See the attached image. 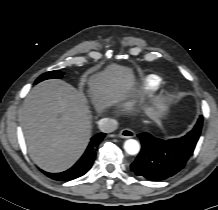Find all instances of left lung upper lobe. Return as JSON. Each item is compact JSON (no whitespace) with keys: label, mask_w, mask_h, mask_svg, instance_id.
<instances>
[{"label":"left lung upper lobe","mask_w":218,"mask_h":210,"mask_svg":"<svg viewBox=\"0 0 218 210\" xmlns=\"http://www.w3.org/2000/svg\"><path fill=\"white\" fill-rule=\"evenodd\" d=\"M203 118L200 117L197 124L195 126H202Z\"/></svg>","instance_id":"obj_1"}]
</instances>
